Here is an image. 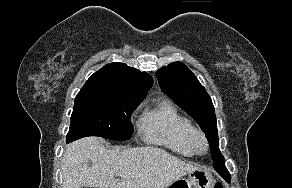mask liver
Returning <instances> with one entry per match:
<instances>
[{
	"label": "liver",
	"instance_id": "obj_1",
	"mask_svg": "<svg viewBox=\"0 0 292 188\" xmlns=\"http://www.w3.org/2000/svg\"><path fill=\"white\" fill-rule=\"evenodd\" d=\"M198 168L158 147L106 149L102 139L87 137L64 151L62 188H166Z\"/></svg>",
	"mask_w": 292,
	"mask_h": 188
}]
</instances>
